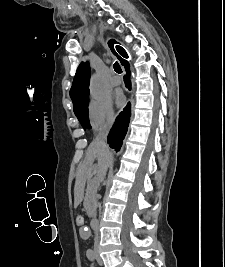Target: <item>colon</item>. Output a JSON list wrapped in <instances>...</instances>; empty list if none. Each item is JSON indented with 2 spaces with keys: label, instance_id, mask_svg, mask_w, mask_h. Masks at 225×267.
<instances>
[{
  "label": "colon",
  "instance_id": "1",
  "mask_svg": "<svg viewBox=\"0 0 225 267\" xmlns=\"http://www.w3.org/2000/svg\"><path fill=\"white\" fill-rule=\"evenodd\" d=\"M75 223L79 228H82L84 225V217L82 215H77L75 218Z\"/></svg>",
  "mask_w": 225,
  "mask_h": 267
}]
</instances>
